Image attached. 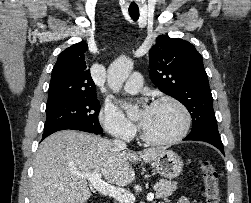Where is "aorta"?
<instances>
[{
	"label": "aorta",
	"instance_id": "aorta-1",
	"mask_svg": "<svg viewBox=\"0 0 251 203\" xmlns=\"http://www.w3.org/2000/svg\"><path fill=\"white\" fill-rule=\"evenodd\" d=\"M133 69V62L129 59L115 60L107 70V83L113 92H119L124 82L129 77ZM123 108L126 110L128 117H133L137 113L135 107L125 105Z\"/></svg>",
	"mask_w": 251,
	"mask_h": 203
}]
</instances>
